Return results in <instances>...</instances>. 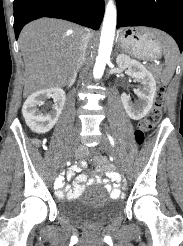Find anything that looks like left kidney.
<instances>
[{"mask_svg":"<svg viewBox=\"0 0 183 246\" xmlns=\"http://www.w3.org/2000/svg\"><path fill=\"white\" fill-rule=\"evenodd\" d=\"M116 63L119 69H128L129 74L141 84L136 93L139 98L138 102L133 103L131 97L126 93L121 95V101L128 116L133 120H140L152 108L156 93L155 78L144 65L135 59H131L126 54H119Z\"/></svg>","mask_w":183,"mask_h":246,"instance_id":"obj_1","label":"left kidney"}]
</instances>
